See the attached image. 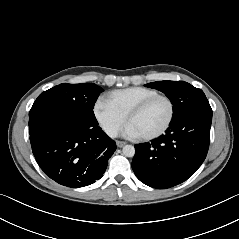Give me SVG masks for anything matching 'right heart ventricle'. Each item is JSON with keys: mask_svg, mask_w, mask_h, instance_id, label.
<instances>
[{"mask_svg": "<svg viewBox=\"0 0 239 239\" xmlns=\"http://www.w3.org/2000/svg\"><path fill=\"white\" fill-rule=\"evenodd\" d=\"M158 94V91L143 86H134L109 92L105 100L125 116L130 110L146 98Z\"/></svg>", "mask_w": 239, "mask_h": 239, "instance_id": "right-heart-ventricle-1", "label": "right heart ventricle"}]
</instances>
